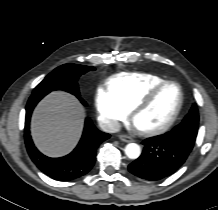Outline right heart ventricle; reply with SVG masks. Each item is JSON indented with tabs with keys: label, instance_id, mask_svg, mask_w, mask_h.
Wrapping results in <instances>:
<instances>
[{
	"label": "right heart ventricle",
	"instance_id": "right-heart-ventricle-1",
	"mask_svg": "<svg viewBox=\"0 0 218 210\" xmlns=\"http://www.w3.org/2000/svg\"><path fill=\"white\" fill-rule=\"evenodd\" d=\"M165 79L151 73H122L111 78L108 90L129 110L155 85Z\"/></svg>",
	"mask_w": 218,
	"mask_h": 210
}]
</instances>
